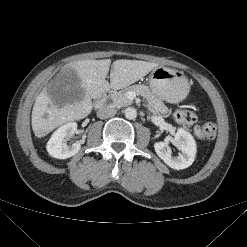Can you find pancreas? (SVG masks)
Segmentation results:
<instances>
[{"instance_id":"obj_1","label":"pancreas","mask_w":247,"mask_h":247,"mask_svg":"<svg viewBox=\"0 0 247 247\" xmlns=\"http://www.w3.org/2000/svg\"><path fill=\"white\" fill-rule=\"evenodd\" d=\"M129 92H134L137 95H140L144 97L147 100L148 107L151 111L154 113H157L162 116H168L169 115V110L165 106V104L158 99L149 89L148 86L146 85H133L130 87H127L119 92H113L110 95V98L112 100L111 105L113 107H123V106H128L133 103L131 99L128 98V93Z\"/></svg>"}]
</instances>
